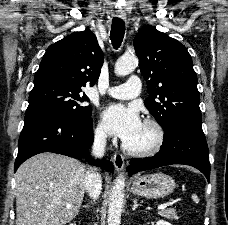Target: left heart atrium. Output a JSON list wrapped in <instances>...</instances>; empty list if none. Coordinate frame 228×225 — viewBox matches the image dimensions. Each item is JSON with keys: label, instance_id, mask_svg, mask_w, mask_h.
<instances>
[{"label": "left heart atrium", "instance_id": "left-heart-atrium-1", "mask_svg": "<svg viewBox=\"0 0 228 225\" xmlns=\"http://www.w3.org/2000/svg\"><path fill=\"white\" fill-rule=\"evenodd\" d=\"M103 120L111 134L119 136L126 142L133 141L143 127L138 110L122 104L108 106L103 112Z\"/></svg>", "mask_w": 228, "mask_h": 225}]
</instances>
